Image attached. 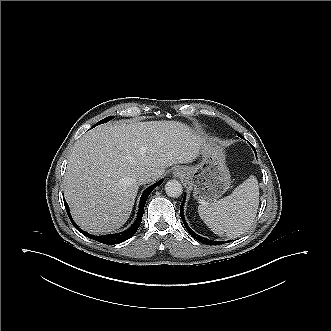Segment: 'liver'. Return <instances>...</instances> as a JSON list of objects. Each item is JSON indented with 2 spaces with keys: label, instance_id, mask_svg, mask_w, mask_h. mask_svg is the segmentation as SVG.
Here are the masks:
<instances>
[{
  "label": "liver",
  "instance_id": "1",
  "mask_svg": "<svg viewBox=\"0 0 331 331\" xmlns=\"http://www.w3.org/2000/svg\"><path fill=\"white\" fill-rule=\"evenodd\" d=\"M202 140L176 121L105 124L74 145L64 194L75 222L91 234L110 233L128 220L141 175L191 163Z\"/></svg>",
  "mask_w": 331,
  "mask_h": 331
}]
</instances>
